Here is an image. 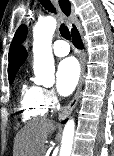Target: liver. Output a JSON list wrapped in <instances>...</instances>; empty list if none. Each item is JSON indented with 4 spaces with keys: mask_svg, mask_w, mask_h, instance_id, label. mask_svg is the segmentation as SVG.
Returning <instances> with one entry per match:
<instances>
[{
    "mask_svg": "<svg viewBox=\"0 0 114 156\" xmlns=\"http://www.w3.org/2000/svg\"><path fill=\"white\" fill-rule=\"evenodd\" d=\"M56 128L48 119L28 122L16 135L13 156H42L45 141Z\"/></svg>",
    "mask_w": 114,
    "mask_h": 156,
    "instance_id": "1",
    "label": "liver"
}]
</instances>
